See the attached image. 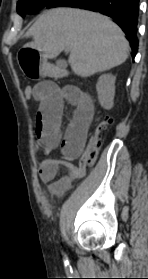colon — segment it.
<instances>
[{
	"mask_svg": "<svg viewBox=\"0 0 148 279\" xmlns=\"http://www.w3.org/2000/svg\"><path fill=\"white\" fill-rule=\"evenodd\" d=\"M23 92L25 97L27 98H32L33 95V86L30 85H26L23 88ZM113 119L112 117H106L102 123L99 125L96 133L94 134V136L90 139V141L88 142L86 149L83 153V156L80 160V166L83 168H86L88 166H91L98 155L99 149L103 143V135H102V130L103 128L112 123Z\"/></svg>",
	"mask_w": 148,
	"mask_h": 279,
	"instance_id": "obj_1",
	"label": "colon"
}]
</instances>
